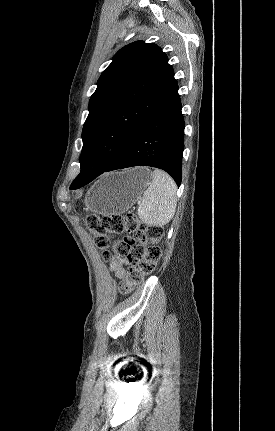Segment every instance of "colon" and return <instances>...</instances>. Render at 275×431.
I'll return each instance as SVG.
<instances>
[{"mask_svg":"<svg viewBox=\"0 0 275 431\" xmlns=\"http://www.w3.org/2000/svg\"><path fill=\"white\" fill-rule=\"evenodd\" d=\"M85 224L106 259L113 254L126 258L127 271L120 282L122 293H129L155 271L161 256L157 243L164 234L162 226L142 223L132 213L89 215ZM111 234L122 238L111 245Z\"/></svg>","mask_w":275,"mask_h":431,"instance_id":"colon-1","label":"colon"}]
</instances>
